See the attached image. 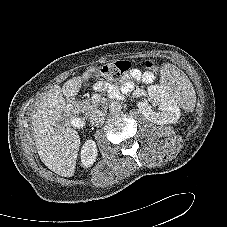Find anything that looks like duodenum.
<instances>
[{"mask_svg":"<svg viewBox=\"0 0 227 227\" xmlns=\"http://www.w3.org/2000/svg\"><path fill=\"white\" fill-rule=\"evenodd\" d=\"M67 114H68L69 121L74 128L76 129L84 128L85 121L76 114L73 106H70L67 109Z\"/></svg>","mask_w":227,"mask_h":227,"instance_id":"obj_1","label":"duodenum"}]
</instances>
